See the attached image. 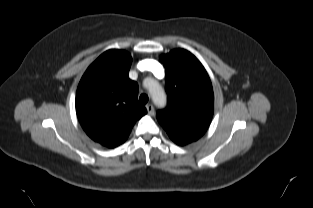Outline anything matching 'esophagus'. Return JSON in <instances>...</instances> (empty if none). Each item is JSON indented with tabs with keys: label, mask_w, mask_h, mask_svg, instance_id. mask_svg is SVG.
Instances as JSON below:
<instances>
[{
	"label": "esophagus",
	"mask_w": 313,
	"mask_h": 208,
	"mask_svg": "<svg viewBox=\"0 0 313 208\" xmlns=\"http://www.w3.org/2000/svg\"><path fill=\"white\" fill-rule=\"evenodd\" d=\"M146 109H147L149 115H154V112H155V111H154V107H153L152 104H148V105L146 106Z\"/></svg>",
	"instance_id": "34e87169"
}]
</instances>
